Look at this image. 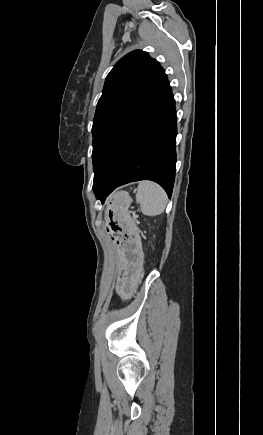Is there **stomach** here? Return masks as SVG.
Listing matches in <instances>:
<instances>
[{
    "label": "stomach",
    "mask_w": 263,
    "mask_h": 435,
    "mask_svg": "<svg viewBox=\"0 0 263 435\" xmlns=\"http://www.w3.org/2000/svg\"><path fill=\"white\" fill-rule=\"evenodd\" d=\"M131 198L126 191L117 192L108 206V216L103 217L105 232L110 233L114 247H118L123 256L124 267L117 268L115 274L119 279L116 280V287L120 288L122 299L133 297V288H141L142 281L138 279L141 274L143 262V240L138 233L136 217L131 216Z\"/></svg>",
    "instance_id": "obj_1"
}]
</instances>
